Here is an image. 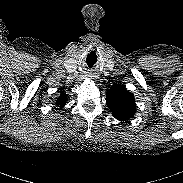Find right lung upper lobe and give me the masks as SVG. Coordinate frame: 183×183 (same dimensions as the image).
Segmentation results:
<instances>
[{"instance_id":"obj_1","label":"right lung upper lobe","mask_w":183,"mask_h":183,"mask_svg":"<svg viewBox=\"0 0 183 183\" xmlns=\"http://www.w3.org/2000/svg\"><path fill=\"white\" fill-rule=\"evenodd\" d=\"M67 102V94L61 91L60 97L56 100V105L60 108L64 107Z\"/></svg>"}]
</instances>
